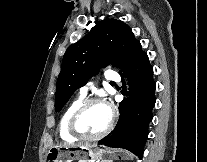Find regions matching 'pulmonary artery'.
<instances>
[{
    "label": "pulmonary artery",
    "instance_id": "obj_1",
    "mask_svg": "<svg viewBox=\"0 0 207 162\" xmlns=\"http://www.w3.org/2000/svg\"><path fill=\"white\" fill-rule=\"evenodd\" d=\"M105 77L107 80L111 81V84L119 81V76L116 73L106 72ZM89 87H90V83H88L80 88V93L82 96H86L88 94Z\"/></svg>",
    "mask_w": 207,
    "mask_h": 162
}]
</instances>
